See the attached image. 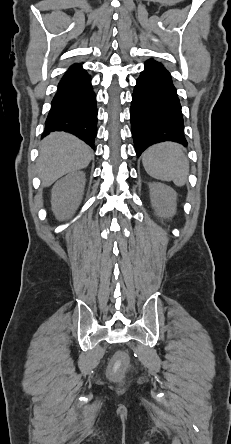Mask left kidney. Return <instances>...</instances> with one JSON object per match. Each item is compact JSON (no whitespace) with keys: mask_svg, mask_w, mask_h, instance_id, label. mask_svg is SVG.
Returning a JSON list of instances; mask_svg holds the SVG:
<instances>
[{"mask_svg":"<svg viewBox=\"0 0 231 444\" xmlns=\"http://www.w3.org/2000/svg\"><path fill=\"white\" fill-rule=\"evenodd\" d=\"M149 188L151 203L156 213L161 217H172L176 212L175 190L159 182L149 183Z\"/></svg>","mask_w":231,"mask_h":444,"instance_id":"1","label":"left kidney"}]
</instances>
